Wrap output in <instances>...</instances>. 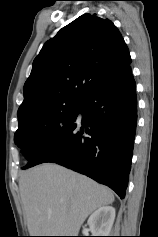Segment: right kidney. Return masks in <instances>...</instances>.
<instances>
[{"instance_id":"right-kidney-1","label":"right kidney","mask_w":158,"mask_h":237,"mask_svg":"<svg viewBox=\"0 0 158 237\" xmlns=\"http://www.w3.org/2000/svg\"><path fill=\"white\" fill-rule=\"evenodd\" d=\"M115 219V208L102 206L88 218L87 224L93 236H109Z\"/></svg>"}]
</instances>
